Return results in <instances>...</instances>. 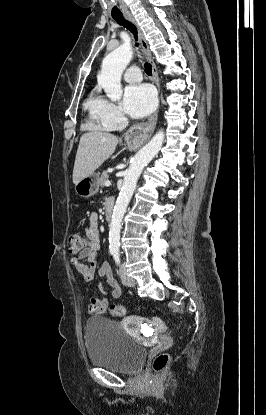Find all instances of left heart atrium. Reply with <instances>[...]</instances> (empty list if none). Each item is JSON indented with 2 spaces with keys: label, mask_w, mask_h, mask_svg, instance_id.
<instances>
[{
  "label": "left heart atrium",
  "mask_w": 266,
  "mask_h": 415,
  "mask_svg": "<svg viewBox=\"0 0 266 415\" xmlns=\"http://www.w3.org/2000/svg\"><path fill=\"white\" fill-rule=\"evenodd\" d=\"M156 106V94L148 84L131 85L126 88L123 108L133 118H142L150 114Z\"/></svg>",
  "instance_id": "1"
}]
</instances>
